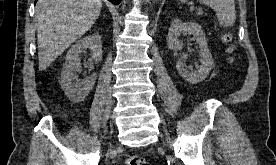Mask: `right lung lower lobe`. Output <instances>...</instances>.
<instances>
[{
    "mask_svg": "<svg viewBox=\"0 0 276 165\" xmlns=\"http://www.w3.org/2000/svg\"><path fill=\"white\" fill-rule=\"evenodd\" d=\"M110 2H112L113 4L117 5L120 3L121 0H109ZM35 2H37V0H35Z\"/></svg>",
    "mask_w": 276,
    "mask_h": 165,
    "instance_id": "1",
    "label": "right lung lower lobe"
}]
</instances>
